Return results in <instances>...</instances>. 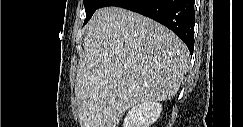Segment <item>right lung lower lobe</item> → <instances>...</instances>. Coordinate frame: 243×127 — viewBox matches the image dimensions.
I'll use <instances>...</instances> for the list:
<instances>
[{"label": "right lung lower lobe", "instance_id": "obj_1", "mask_svg": "<svg viewBox=\"0 0 243 127\" xmlns=\"http://www.w3.org/2000/svg\"><path fill=\"white\" fill-rule=\"evenodd\" d=\"M106 6L125 8L165 25L182 39L190 53H193L194 0H105L101 7Z\"/></svg>", "mask_w": 243, "mask_h": 127}]
</instances>
